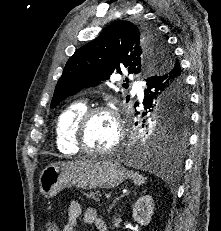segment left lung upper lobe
<instances>
[{"instance_id": "5c2ea615", "label": "left lung upper lobe", "mask_w": 221, "mask_h": 231, "mask_svg": "<svg viewBox=\"0 0 221 231\" xmlns=\"http://www.w3.org/2000/svg\"><path fill=\"white\" fill-rule=\"evenodd\" d=\"M171 57L165 39L154 26L116 21L69 58L56 85L51 107L84 87L108 80L114 71L122 73L128 70L129 73L138 74L153 71L152 68L158 66L157 72L162 73L173 67ZM168 95L143 102V116L149 114L155 124L148 136H159L170 141L186 139L185 128L189 120L186 89L176 88ZM170 99L171 103L175 99L178 104L166 106L168 102L164 104L165 101Z\"/></svg>"}]
</instances>
